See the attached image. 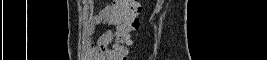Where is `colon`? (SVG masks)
<instances>
[{
	"label": "colon",
	"instance_id": "obj_1",
	"mask_svg": "<svg viewBox=\"0 0 267 60\" xmlns=\"http://www.w3.org/2000/svg\"><path fill=\"white\" fill-rule=\"evenodd\" d=\"M139 4L136 0L114 2L109 20L116 27V43L107 53L112 60H128L127 45L133 32L138 29ZM103 52L100 54V56Z\"/></svg>",
	"mask_w": 267,
	"mask_h": 60
}]
</instances>
